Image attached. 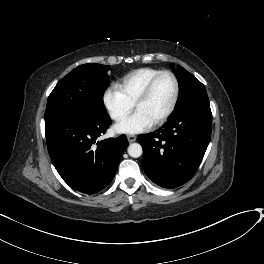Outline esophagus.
I'll return each instance as SVG.
<instances>
[{"mask_svg":"<svg viewBox=\"0 0 264 264\" xmlns=\"http://www.w3.org/2000/svg\"><path fill=\"white\" fill-rule=\"evenodd\" d=\"M127 139L130 143L135 142L136 141V136L135 135H128Z\"/></svg>","mask_w":264,"mask_h":264,"instance_id":"esophagus-1","label":"esophagus"}]
</instances>
